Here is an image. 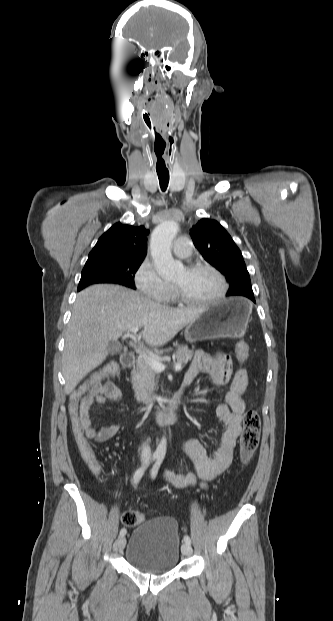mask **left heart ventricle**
<instances>
[{"mask_svg":"<svg viewBox=\"0 0 333 621\" xmlns=\"http://www.w3.org/2000/svg\"><path fill=\"white\" fill-rule=\"evenodd\" d=\"M173 285L178 286L188 297L196 300L210 299L221 289L218 277L208 270L188 272L183 269L173 279Z\"/></svg>","mask_w":333,"mask_h":621,"instance_id":"obj_1","label":"left heart ventricle"}]
</instances>
